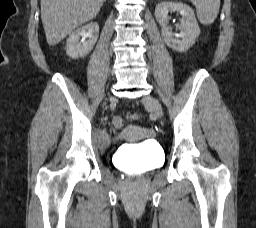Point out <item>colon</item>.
Masks as SVG:
<instances>
[{
    "label": "colon",
    "instance_id": "5ec220e1",
    "mask_svg": "<svg viewBox=\"0 0 256 228\" xmlns=\"http://www.w3.org/2000/svg\"><path fill=\"white\" fill-rule=\"evenodd\" d=\"M112 124L116 129H121L123 127V119L120 116H116L113 118Z\"/></svg>",
    "mask_w": 256,
    "mask_h": 228
}]
</instances>
